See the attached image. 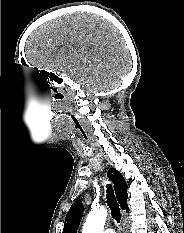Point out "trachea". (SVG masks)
Masks as SVG:
<instances>
[{"instance_id": "1", "label": "trachea", "mask_w": 184, "mask_h": 233, "mask_svg": "<svg viewBox=\"0 0 184 233\" xmlns=\"http://www.w3.org/2000/svg\"><path fill=\"white\" fill-rule=\"evenodd\" d=\"M80 130H81V135L85 139H87V135L83 131V129H80ZM106 188H107L106 189V199H107V204L111 210V215H112L113 219L115 221H117V223H119L120 219H121L120 208H119V205L117 203L113 188L110 184H107Z\"/></svg>"}]
</instances>
